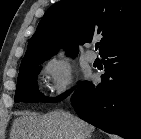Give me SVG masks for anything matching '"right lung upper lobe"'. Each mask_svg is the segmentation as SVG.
Here are the masks:
<instances>
[{
	"mask_svg": "<svg viewBox=\"0 0 141 139\" xmlns=\"http://www.w3.org/2000/svg\"><path fill=\"white\" fill-rule=\"evenodd\" d=\"M140 36L141 0H62L39 22L20 68L43 63L60 47L75 57L78 45L96 37H102L101 55Z\"/></svg>",
	"mask_w": 141,
	"mask_h": 139,
	"instance_id": "cb5924a9",
	"label": "right lung upper lobe"
}]
</instances>
